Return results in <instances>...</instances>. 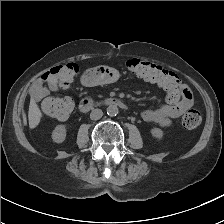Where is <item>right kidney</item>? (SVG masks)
<instances>
[{
    "label": "right kidney",
    "mask_w": 224,
    "mask_h": 224,
    "mask_svg": "<svg viewBox=\"0 0 224 224\" xmlns=\"http://www.w3.org/2000/svg\"><path fill=\"white\" fill-rule=\"evenodd\" d=\"M66 137L65 125H58L52 132V139L55 143H62Z\"/></svg>",
    "instance_id": "obj_1"
}]
</instances>
